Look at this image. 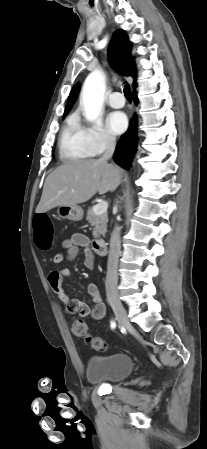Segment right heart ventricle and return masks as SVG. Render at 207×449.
<instances>
[{"label": "right heart ventricle", "mask_w": 207, "mask_h": 449, "mask_svg": "<svg viewBox=\"0 0 207 449\" xmlns=\"http://www.w3.org/2000/svg\"><path fill=\"white\" fill-rule=\"evenodd\" d=\"M59 155L63 161H76L91 157L82 126L76 115L68 117L59 139Z\"/></svg>", "instance_id": "e07e8e85"}]
</instances>
